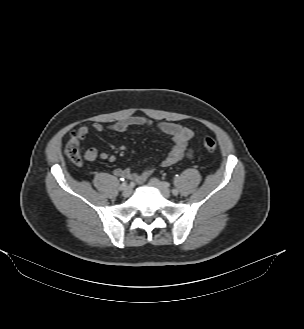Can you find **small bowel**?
<instances>
[{"label":"small bowel","instance_id":"1","mask_svg":"<svg viewBox=\"0 0 304 329\" xmlns=\"http://www.w3.org/2000/svg\"><path fill=\"white\" fill-rule=\"evenodd\" d=\"M150 124V119L145 116H129L109 125L108 128L112 131L124 132L132 126L146 127ZM157 127L161 132L171 137L173 141L172 149L162 161L163 166H170L181 160L184 156L191 155L189 142L193 138L194 133L190 128L165 121L160 122ZM90 129L96 132H102L105 127L101 123H94L91 127L87 125L80 126L77 129V134L79 135L80 140H83L88 135ZM84 157L89 162H93L97 159L114 162L116 159L115 155L110 153H101L93 147L86 150ZM155 169L156 166L154 164H150L139 172H133L130 169H116L114 173L118 177L127 178L137 183H142L155 171Z\"/></svg>","mask_w":304,"mask_h":329}]
</instances>
